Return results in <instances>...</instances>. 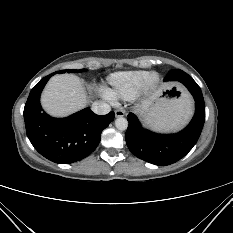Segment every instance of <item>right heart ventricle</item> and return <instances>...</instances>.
Listing matches in <instances>:
<instances>
[{
	"mask_svg": "<svg viewBox=\"0 0 233 233\" xmlns=\"http://www.w3.org/2000/svg\"><path fill=\"white\" fill-rule=\"evenodd\" d=\"M149 74L144 70L113 73L108 77L107 95L111 99H132L142 90Z\"/></svg>",
	"mask_w": 233,
	"mask_h": 233,
	"instance_id": "obj_1",
	"label": "right heart ventricle"
}]
</instances>
